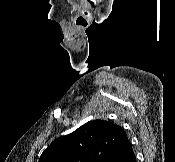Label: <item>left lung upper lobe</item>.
<instances>
[{"label": "left lung upper lobe", "instance_id": "5c2ea615", "mask_svg": "<svg viewBox=\"0 0 175 162\" xmlns=\"http://www.w3.org/2000/svg\"><path fill=\"white\" fill-rule=\"evenodd\" d=\"M126 137L120 126L105 120H92L54 140L43 151L39 162H106Z\"/></svg>", "mask_w": 175, "mask_h": 162}]
</instances>
